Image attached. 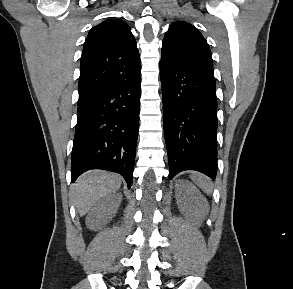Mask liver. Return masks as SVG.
Returning <instances> with one entry per match:
<instances>
[{"instance_id": "1", "label": "liver", "mask_w": 293, "mask_h": 289, "mask_svg": "<svg viewBox=\"0 0 293 289\" xmlns=\"http://www.w3.org/2000/svg\"><path fill=\"white\" fill-rule=\"evenodd\" d=\"M122 184L118 174L91 170L82 174L71 187L73 203L80 216L85 215L101 198L116 192Z\"/></svg>"}]
</instances>
